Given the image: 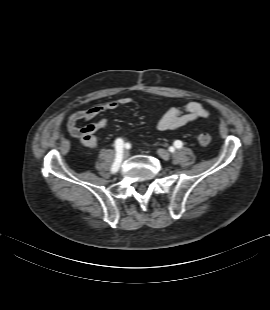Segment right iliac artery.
<instances>
[{"mask_svg":"<svg viewBox=\"0 0 270 310\" xmlns=\"http://www.w3.org/2000/svg\"><path fill=\"white\" fill-rule=\"evenodd\" d=\"M123 146H124L123 140L121 138L116 139L115 141L116 158L111 168L112 173L117 172L120 167L123 156Z\"/></svg>","mask_w":270,"mask_h":310,"instance_id":"1","label":"right iliac artery"}]
</instances>
